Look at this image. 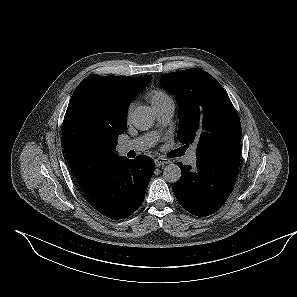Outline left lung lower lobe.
Listing matches in <instances>:
<instances>
[{
	"label": "left lung lower lobe",
	"instance_id": "left-lung-lower-lobe-1",
	"mask_svg": "<svg viewBox=\"0 0 297 297\" xmlns=\"http://www.w3.org/2000/svg\"><path fill=\"white\" fill-rule=\"evenodd\" d=\"M196 158L194 168L177 163L182 177L175 183L174 193L187 211L205 217L221 208L233 190L240 163V142Z\"/></svg>",
	"mask_w": 297,
	"mask_h": 297
}]
</instances>
